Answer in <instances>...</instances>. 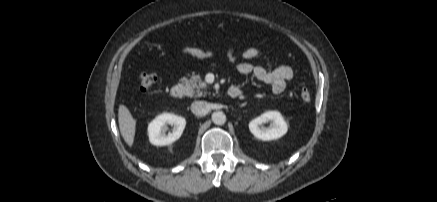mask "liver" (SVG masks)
<instances>
[{"label":"liver","mask_w":437,"mask_h":202,"mask_svg":"<svg viewBox=\"0 0 437 202\" xmlns=\"http://www.w3.org/2000/svg\"><path fill=\"white\" fill-rule=\"evenodd\" d=\"M118 122L121 135L128 146H132L136 131V119L125 105H120L118 109Z\"/></svg>","instance_id":"1"}]
</instances>
